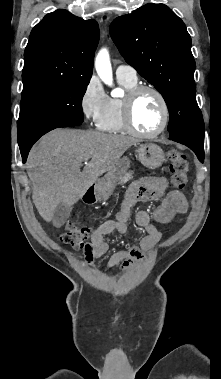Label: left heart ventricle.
<instances>
[{"mask_svg":"<svg viewBox=\"0 0 221 379\" xmlns=\"http://www.w3.org/2000/svg\"><path fill=\"white\" fill-rule=\"evenodd\" d=\"M134 123L142 132L157 130L162 120V110L157 97L151 92L142 93L133 108Z\"/></svg>","mask_w":221,"mask_h":379,"instance_id":"obj_1","label":"left heart ventricle"}]
</instances>
